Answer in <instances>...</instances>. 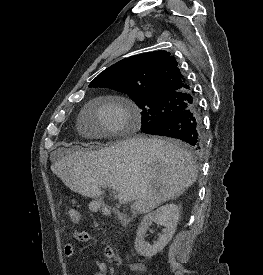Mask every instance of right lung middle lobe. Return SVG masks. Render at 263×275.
I'll return each instance as SVG.
<instances>
[{
    "label": "right lung middle lobe",
    "instance_id": "obj_1",
    "mask_svg": "<svg viewBox=\"0 0 263 275\" xmlns=\"http://www.w3.org/2000/svg\"><path fill=\"white\" fill-rule=\"evenodd\" d=\"M130 97L141 110V131L144 133L194 104V98L189 94L130 95Z\"/></svg>",
    "mask_w": 263,
    "mask_h": 275
}]
</instances>
